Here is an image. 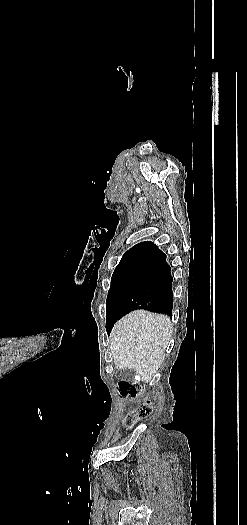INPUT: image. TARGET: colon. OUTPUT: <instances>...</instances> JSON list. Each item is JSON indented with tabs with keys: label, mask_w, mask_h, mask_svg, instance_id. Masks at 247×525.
<instances>
[{
	"label": "colon",
	"mask_w": 247,
	"mask_h": 525,
	"mask_svg": "<svg viewBox=\"0 0 247 525\" xmlns=\"http://www.w3.org/2000/svg\"><path fill=\"white\" fill-rule=\"evenodd\" d=\"M120 394L123 397L134 398L141 394L142 386L137 383H133L127 380H123L119 383ZM151 413L150 401L142 402L135 410L128 414L126 419V426L131 427L137 423L140 419L148 417Z\"/></svg>",
	"instance_id": "5ec220e1"
}]
</instances>
